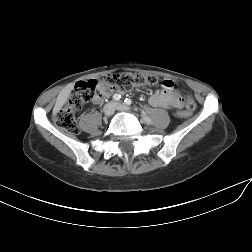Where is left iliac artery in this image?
I'll return each mask as SVG.
<instances>
[{
	"instance_id": "obj_1",
	"label": "left iliac artery",
	"mask_w": 252,
	"mask_h": 252,
	"mask_svg": "<svg viewBox=\"0 0 252 252\" xmlns=\"http://www.w3.org/2000/svg\"><path fill=\"white\" fill-rule=\"evenodd\" d=\"M124 102H125L127 105H131V103H132L131 99H129V98H126V99L124 100ZM142 118H143V120H144L147 124H151V123H152L151 119H150L145 113H142Z\"/></svg>"
}]
</instances>
